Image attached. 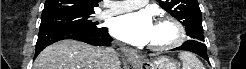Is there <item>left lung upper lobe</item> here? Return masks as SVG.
Returning <instances> with one entry per match:
<instances>
[{"instance_id": "5c2ea615", "label": "left lung upper lobe", "mask_w": 246, "mask_h": 69, "mask_svg": "<svg viewBox=\"0 0 246 69\" xmlns=\"http://www.w3.org/2000/svg\"><path fill=\"white\" fill-rule=\"evenodd\" d=\"M160 6L179 20L192 39L204 42L201 11L197 0H166L160 1Z\"/></svg>"}]
</instances>
